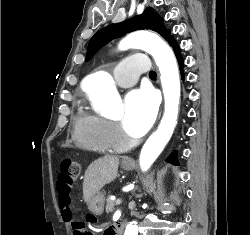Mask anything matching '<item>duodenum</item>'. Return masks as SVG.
Segmentation results:
<instances>
[{
    "mask_svg": "<svg viewBox=\"0 0 250 235\" xmlns=\"http://www.w3.org/2000/svg\"><path fill=\"white\" fill-rule=\"evenodd\" d=\"M124 225L122 222L116 223L113 225L112 229L110 230V235H122L123 234Z\"/></svg>",
    "mask_w": 250,
    "mask_h": 235,
    "instance_id": "1",
    "label": "duodenum"
}]
</instances>
